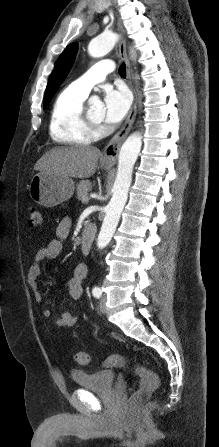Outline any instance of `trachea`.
<instances>
[{
    "instance_id": "3493384b",
    "label": "trachea",
    "mask_w": 219,
    "mask_h": 447,
    "mask_svg": "<svg viewBox=\"0 0 219 447\" xmlns=\"http://www.w3.org/2000/svg\"><path fill=\"white\" fill-rule=\"evenodd\" d=\"M119 75L121 77H126V66L125 63H123L120 67H119Z\"/></svg>"
}]
</instances>
